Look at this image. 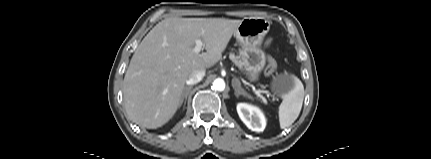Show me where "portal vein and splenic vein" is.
<instances>
[{
    "label": "portal vein and splenic vein",
    "mask_w": 431,
    "mask_h": 159,
    "mask_svg": "<svg viewBox=\"0 0 431 159\" xmlns=\"http://www.w3.org/2000/svg\"><path fill=\"white\" fill-rule=\"evenodd\" d=\"M203 42L201 39H197L195 42V47L193 48V53L198 54L203 49ZM255 94L262 99L264 103H266V99L261 95L260 90H254Z\"/></svg>",
    "instance_id": "portal-vein-and-splenic-vein-1"
}]
</instances>
